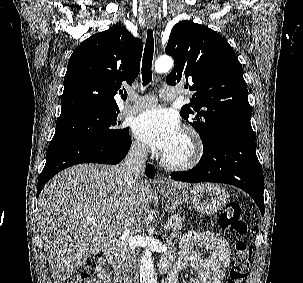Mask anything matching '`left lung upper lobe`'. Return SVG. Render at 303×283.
Masks as SVG:
<instances>
[{
  "label": "left lung upper lobe",
  "mask_w": 303,
  "mask_h": 283,
  "mask_svg": "<svg viewBox=\"0 0 303 283\" xmlns=\"http://www.w3.org/2000/svg\"><path fill=\"white\" fill-rule=\"evenodd\" d=\"M165 52L175 62L166 83H186L192 91L181 115L191 121L203 147L226 131H253L242 66L224 37L207 26L181 21L171 30Z\"/></svg>",
  "instance_id": "5c2ea615"
}]
</instances>
